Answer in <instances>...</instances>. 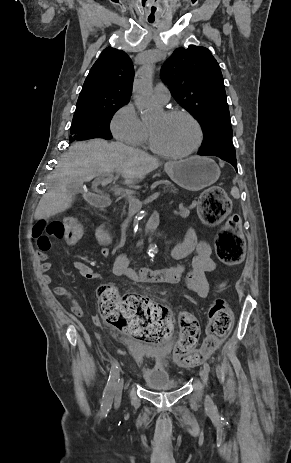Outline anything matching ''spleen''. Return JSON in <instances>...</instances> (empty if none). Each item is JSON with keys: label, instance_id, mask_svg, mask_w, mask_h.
Segmentation results:
<instances>
[{"label": "spleen", "instance_id": "1", "mask_svg": "<svg viewBox=\"0 0 291 463\" xmlns=\"http://www.w3.org/2000/svg\"><path fill=\"white\" fill-rule=\"evenodd\" d=\"M231 194L234 198L238 199L240 197V193L237 187H233L231 189Z\"/></svg>", "mask_w": 291, "mask_h": 463}]
</instances>
